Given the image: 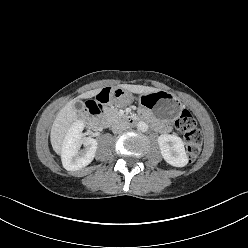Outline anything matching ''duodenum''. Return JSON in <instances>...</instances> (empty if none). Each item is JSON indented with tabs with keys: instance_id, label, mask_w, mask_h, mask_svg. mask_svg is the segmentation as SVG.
Instances as JSON below:
<instances>
[{
	"instance_id": "410a0bca",
	"label": "duodenum",
	"mask_w": 248,
	"mask_h": 248,
	"mask_svg": "<svg viewBox=\"0 0 248 248\" xmlns=\"http://www.w3.org/2000/svg\"><path fill=\"white\" fill-rule=\"evenodd\" d=\"M114 94V87L106 86L102 88L99 94L95 95L94 99L88 100L86 114L90 118L91 124L94 128L101 129L105 126L106 120L102 114V106L106 104V102L110 99V97L114 96ZM123 121L128 125H132L136 122V119L131 116H127L123 118ZM152 126L156 129L158 127L157 122H152Z\"/></svg>"
}]
</instances>
